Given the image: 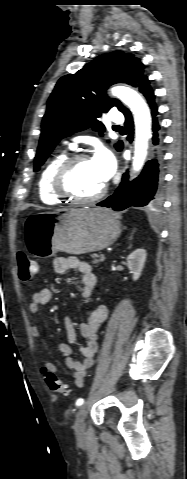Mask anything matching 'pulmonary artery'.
<instances>
[{
	"label": "pulmonary artery",
	"mask_w": 187,
	"mask_h": 479,
	"mask_svg": "<svg viewBox=\"0 0 187 479\" xmlns=\"http://www.w3.org/2000/svg\"><path fill=\"white\" fill-rule=\"evenodd\" d=\"M109 121L114 124L115 127H119L123 121V115L119 113L117 110H112L111 115L109 117ZM70 147H74V144H69Z\"/></svg>",
	"instance_id": "obj_1"
}]
</instances>
